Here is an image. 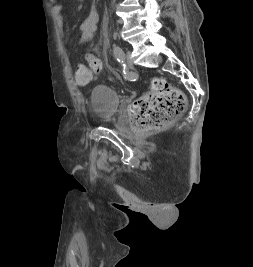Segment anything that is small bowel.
Wrapping results in <instances>:
<instances>
[{"label": "small bowel", "mask_w": 253, "mask_h": 267, "mask_svg": "<svg viewBox=\"0 0 253 267\" xmlns=\"http://www.w3.org/2000/svg\"><path fill=\"white\" fill-rule=\"evenodd\" d=\"M50 1L54 2L55 0H50ZM52 13L56 19L60 33L63 36L64 35V19L62 15V6L59 4H53ZM98 19H99V14H98L97 6L93 4L90 13L80 25V30H81L80 43H85L92 39L94 32L96 30V27H97Z\"/></svg>", "instance_id": "1"}]
</instances>
